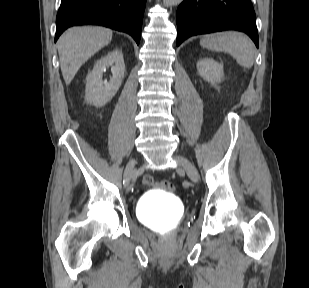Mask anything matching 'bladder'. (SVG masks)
I'll return each mask as SVG.
<instances>
[{"instance_id": "obj_1", "label": "bladder", "mask_w": 309, "mask_h": 288, "mask_svg": "<svg viewBox=\"0 0 309 288\" xmlns=\"http://www.w3.org/2000/svg\"><path fill=\"white\" fill-rule=\"evenodd\" d=\"M138 219L152 229L175 227L183 218L177 197L167 191H149L137 201Z\"/></svg>"}]
</instances>
